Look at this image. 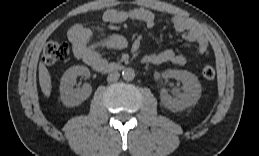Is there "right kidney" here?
<instances>
[{"label": "right kidney", "instance_id": "obj_1", "mask_svg": "<svg viewBox=\"0 0 259 156\" xmlns=\"http://www.w3.org/2000/svg\"><path fill=\"white\" fill-rule=\"evenodd\" d=\"M78 76L86 79L90 77V71L85 66H72L64 72L60 81V98L64 105L68 107L78 106L85 101L92 92L89 84H84L82 88L74 89Z\"/></svg>", "mask_w": 259, "mask_h": 156}]
</instances>
